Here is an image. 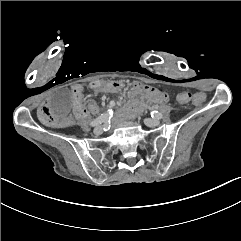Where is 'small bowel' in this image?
Instances as JSON below:
<instances>
[{"mask_svg": "<svg viewBox=\"0 0 241 241\" xmlns=\"http://www.w3.org/2000/svg\"><path fill=\"white\" fill-rule=\"evenodd\" d=\"M103 88L97 92H106V93H117L128 92L130 87L133 91H143L146 93L151 99L156 101L157 103H164L166 101V94L164 92L156 91L152 86L146 84L145 82H133L130 86L128 81L121 82H102ZM53 106V100L48 95H43L39 98L38 103L36 105L37 113L35 115L36 123L41 127H57L59 124V120L56 114L51 110ZM90 110L92 112L96 111V105L94 103L90 104ZM75 118L72 115H67L65 118L61 119L60 124L63 127H66L72 123H74Z\"/></svg>", "mask_w": 241, "mask_h": 241, "instance_id": "obj_1", "label": "small bowel"}]
</instances>
